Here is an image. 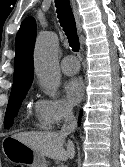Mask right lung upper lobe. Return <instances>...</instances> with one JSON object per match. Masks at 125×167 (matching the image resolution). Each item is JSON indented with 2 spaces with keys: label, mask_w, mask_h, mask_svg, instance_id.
<instances>
[{
  "label": "right lung upper lobe",
  "mask_w": 125,
  "mask_h": 167,
  "mask_svg": "<svg viewBox=\"0 0 125 167\" xmlns=\"http://www.w3.org/2000/svg\"><path fill=\"white\" fill-rule=\"evenodd\" d=\"M36 37V22L33 17L24 19L16 35L14 77L12 93L29 90L34 76L33 48Z\"/></svg>",
  "instance_id": "right-lung-upper-lobe-1"
}]
</instances>
